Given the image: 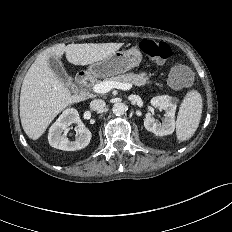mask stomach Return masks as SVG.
Masks as SVG:
<instances>
[{
	"label": "stomach",
	"instance_id": "stomach-1",
	"mask_svg": "<svg viewBox=\"0 0 232 232\" xmlns=\"http://www.w3.org/2000/svg\"><path fill=\"white\" fill-rule=\"evenodd\" d=\"M142 54L136 47L115 51L109 57L88 67L87 74L93 77H110L125 73L140 64Z\"/></svg>",
	"mask_w": 232,
	"mask_h": 232
}]
</instances>
